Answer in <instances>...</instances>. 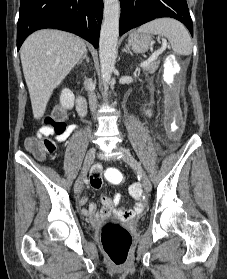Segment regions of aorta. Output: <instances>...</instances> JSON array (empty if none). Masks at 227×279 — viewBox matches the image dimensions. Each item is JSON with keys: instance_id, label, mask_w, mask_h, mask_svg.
Segmentation results:
<instances>
[{"instance_id": "aorta-1", "label": "aorta", "mask_w": 227, "mask_h": 279, "mask_svg": "<svg viewBox=\"0 0 227 279\" xmlns=\"http://www.w3.org/2000/svg\"><path fill=\"white\" fill-rule=\"evenodd\" d=\"M119 18V0H105L99 44L101 78L104 85L110 81L112 72L115 69L119 33Z\"/></svg>"}]
</instances>
